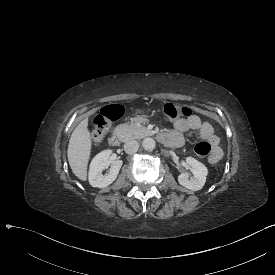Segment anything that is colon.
Wrapping results in <instances>:
<instances>
[{"label": "colon", "instance_id": "1", "mask_svg": "<svg viewBox=\"0 0 275 275\" xmlns=\"http://www.w3.org/2000/svg\"><path fill=\"white\" fill-rule=\"evenodd\" d=\"M164 112L168 121L175 119H186L192 111L184 105L168 102L164 105ZM123 116V106L121 104H111L103 108L99 115L96 116L93 125L92 139L94 142H101L106 136L109 125L121 119ZM194 151L199 157H206L211 152V145L208 141L201 140L194 146Z\"/></svg>", "mask_w": 275, "mask_h": 275}]
</instances>
